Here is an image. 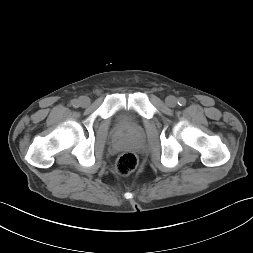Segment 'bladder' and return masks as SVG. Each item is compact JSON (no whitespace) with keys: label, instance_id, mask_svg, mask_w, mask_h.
Instances as JSON below:
<instances>
[{"label":"bladder","instance_id":"1","mask_svg":"<svg viewBox=\"0 0 253 253\" xmlns=\"http://www.w3.org/2000/svg\"><path fill=\"white\" fill-rule=\"evenodd\" d=\"M119 123L121 126L123 127H128L131 125V121L124 115H122L120 118H119Z\"/></svg>","mask_w":253,"mask_h":253}]
</instances>
